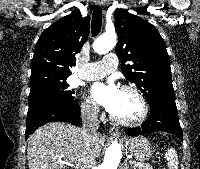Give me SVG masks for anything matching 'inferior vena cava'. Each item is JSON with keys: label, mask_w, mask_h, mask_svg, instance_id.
<instances>
[{"label": "inferior vena cava", "mask_w": 200, "mask_h": 169, "mask_svg": "<svg viewBox=\"0 0 200 169\" xmlns=\"http://www.w3.org/2000/svg\"><path fill=\"white\" fill-rule=\"evenodd\" d=\"M98 106L91 104L82 109L83 125L81 133L86 148V156L83 158L81 169H93L96 164L95 159L90 156L92 147V138L98 135L99 120H98Z\"/></svg>", "instance_id": "inferior-vena-cava-1"}]
</instances>
